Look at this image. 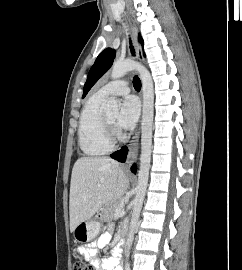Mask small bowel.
Masks as SVG:
<instances>
[{
  "label": "small bowel",
  "instance_id": "1",
  "mask_svg": "<svg viewBox=\"0 0 242 270\" xmlns=\"http://www.w3.org/2000/svg\"><path fill=\"white\" fill-rule=\"evenodd\" d=\"M110 232L103 233L96 241L82 247L84 257L91 259L92 264L99 270H122L118 252L102 259L96 258L98 250L109 245Z\"/></svg>",
  "mask_w": 242,
  "mask_h": 270
}]
</instances>
